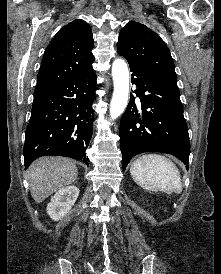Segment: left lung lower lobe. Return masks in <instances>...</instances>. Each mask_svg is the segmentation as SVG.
I'll return each instance as SVG.
<instances>
[{"label": "left lung lower lobe", "mask_w": 221, "mask_h": 274, "mask_svg": "<svg viewBox=\"0 0 221 274\" xmlns=\"http://www.w3.org/2000/svg\"><path fill=\"white\" fill-rule=\"evenodd\" d=\"M134 93L120 121L122 169L143 152L172 154L188 169L190 141L177 84L129 63Z\"/></svg>", "instance_id": "0a47b994"}]
</instances>
